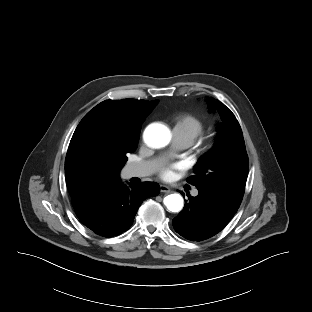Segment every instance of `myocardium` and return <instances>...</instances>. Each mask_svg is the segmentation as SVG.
<instances>
[{
    "label": "myocardium",
    "instance_id": "obj_1",
    "mask_svg": "<svg viewBox=\"0 0 312 312\" xmlns=\"http://www.w3.org/2000/svg\"><path fill=\"white\" fill-rule=\"evenodd\" d=\"M218 145V139L215 136L209 137L204 140L199 146V153L207 154L212 152Z\"/></svg>",
    "mask_w": 312,
    "mask_h": 312
}]
</instances>
